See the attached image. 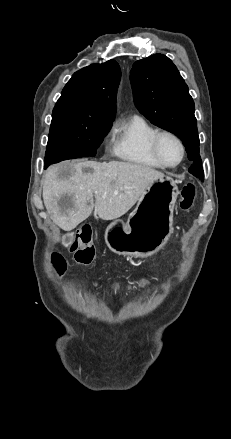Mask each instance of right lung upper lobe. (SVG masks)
<instances>
[{"instance_id": "right-lung-upper-lobe-1", "label": "right lung upper lobe", "mask_w": 231, "mask_h": 439, "mask_svg": "<svg viewBox=\"0 0 231 439\" xmlns=\"http://www.w3.org/2000/svg\"><path fill=\"white\" fill-rule=\"evenodd\" d=\"M120 78V67L114 60L77 71L64 87L52 118L88 116L113 121Z\"/></svg>"}]
</instances>
